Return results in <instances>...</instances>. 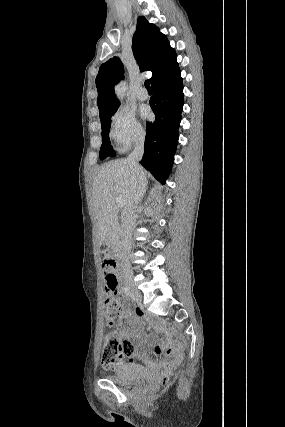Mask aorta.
<instances>
[{
  "label": "aorta",
  "mask_w": 285,
  "mask_h": 427,
  "mask_svg": "<svg viewBox=\"0 0 285 427\" xmlns=\"http://www.w3.org/2000/svg\"><path fill=\"white\" fill-rule=\"evenodd\" d=\"M126 90H127L126 84L124 82H120L115 87L116 96L119 99H122L125 96Z\"/></svg>",
  "instance_id": "aorta-1"
}]
</instances>
